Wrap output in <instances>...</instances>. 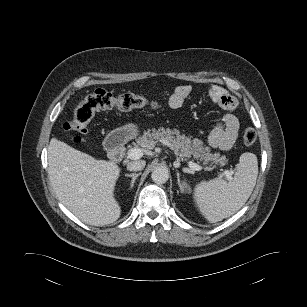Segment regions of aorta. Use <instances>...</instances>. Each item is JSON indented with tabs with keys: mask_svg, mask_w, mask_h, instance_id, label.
Segmentation results:
<instances>
[{
	"mask_svg": "<svg viewBox=\"0 0 307 307\" xmlns=\"http://www.w3.org/2000/svg\"><path fill=\"white\" fill-rule=\"evenodd\" d=\"M151 178L156 184H164L168 181L169 172L165 167H157L152 171Z\"/></svg>",
	"mask_w": 307,
	"mask_h": 307,
	"instance_id": "aorta-1",
	"label": "aorta"
}]
</instances>
